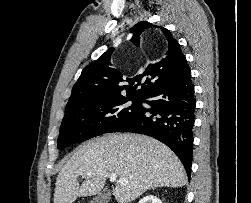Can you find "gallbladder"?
I'll use <instances>...</instances> for the list:
<instances>
[{"mask_svg": "<svg viewBox=\"0 0 251 203\" xmlns=\"http://www.w3.org/2000/svg\"><path fill=\"white\" fill-rule=\"evenodd\" d=\"M110 200V190L104 189L96 197H94L91 203H108Z\"/></svg>", "mask_w": 251, "mask_h": 203, "instance_id": "gallbladder-1", "label": "gallbladder"}]
</instances>
